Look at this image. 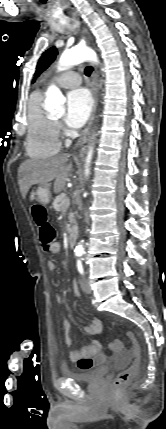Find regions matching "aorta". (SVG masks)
I'll return each mask as SVG.
<instances>
[{
  "mask_svg": "<svg viewBox=\"0 0 166 429\" xmlns=\"http://www.w3.org/2000/svg\"><path fill=\"white\" fill-rule=\"evenodd\" d=\"M84 61H93L98 62L96 53L86 47V46H76L69 50H66L63 52V54L60 57L59 60V68L58 70H63L65 67L73 66L79 63H82ZM46 101L45 105L46 108L51 111H60L62 112L64 110V102L65 98L62 95L61 91L58 87L55 85H52L48 88L46 93ZM92 157V150L89 151L87 156V165L90 163ZM89 173L88 168H86V174ZM75 251L77 253H83L84 248L82 243L78 244V246L75 248Z\"/></svg>",
  "mask_w": 166,
  "mask_h": 429,
  "instance_id": "1",
  "label": "aorta"
}]
</instances>
